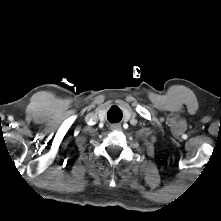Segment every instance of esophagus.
<instances>
[{"label":"esophagus","mask_w":221,"mask_h":221,"mask_svg":"<svg viewBox=\"0 0 221 221\" xmlns=\"http://www.w3.org/2000/svg\"><path fill=\"white\" fill-rule=\"evenodd\" d=\"M112 129H121V125H120V124L113 125V126H112Z\"/></svg>","instance_id":"esophagus-1"}]
</instances>
